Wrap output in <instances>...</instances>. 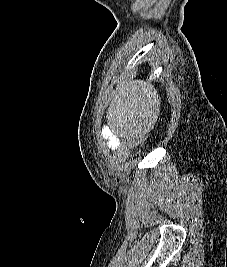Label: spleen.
Segmentation results:
<instances>
[{"instance_id":"spleen-1","label":"spleen","mask_w":227,"mask_h":267,"mask_svg":"<svg viewBox=\"0 0 227 267\" xmlns=\"http://www.w3.org/2000/svg\"><path fill=\"white\" fill-rule=\"evenodd\" d=\"M119 100H111L108 115H157L158 106L156 91L153 86L144 81L126 82L119 89ZM135 105V106H127ZM141 105V106H137ZM105 129H114L118 137H125V140H140L146 129H152V121L156 116H105Z\"/></svg>"}]
</instances>
